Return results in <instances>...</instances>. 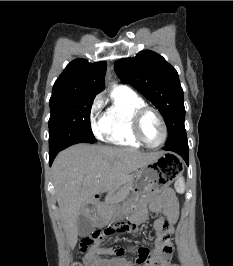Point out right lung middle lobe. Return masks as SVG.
I'll return each mask as SVG.
<instances>
[{"instance_id":"right-lung-middle-lobe-1","label":"right lung middle lobe","mask_w":233,"mask_h":266,"mask_svg":"<svg viewBox=\"0 0 233 266\" xmlns=\"http://www.w3.org/2000/svg\"><path fill=\"white\" fill-rule=\"evenodd\" d=\"M94 98L95 95H76L50 99L49 153L96 141L90 126Z\"/></svg>"}]
</instances>
